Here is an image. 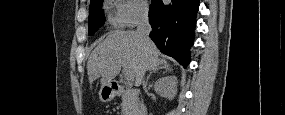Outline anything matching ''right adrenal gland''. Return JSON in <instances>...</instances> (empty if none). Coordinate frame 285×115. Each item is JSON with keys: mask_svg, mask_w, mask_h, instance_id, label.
<instances>
[{"mask_svg": "<svg viewBox=\"0 0 285 115\" xmlns=\"http://www.w3.org/2000/svg\"><path fill=\"white\" fill-rule=\"evenodd\" d=\"M158 70H164V72H171V71H172V69H171L168 65H166V64L159 66L157 69H154V70H152V71L149 72V74H148V76H147V78H146V81H145V83H144V86L147 85L148 80H149V78L151 77V75H152L153 73H157Z\"/></svg>", "mask_w": 285, "mask_h": 115, "instance_id": "obj_1", "label": "right adrenal gland"}]
</instances>
